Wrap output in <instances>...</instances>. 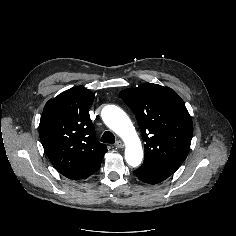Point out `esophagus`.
I'll return each instance as SVG.
<instances>
[{"instance_id":"34e87169","label":"esophagus","mask_w":236,"mask_h":236,"mask_svg":"<svg viewBox=\"0 0 236 236\" xmlns=\"http://www.w3.org/2000/svg\"><path fill=\"white\" fill-rule=\"evenodd\" d=\"M115 147L116 148H123L124 147V144H123V142L122 141H117L116 143H115Z\"/></svg>"}]
</instances>
